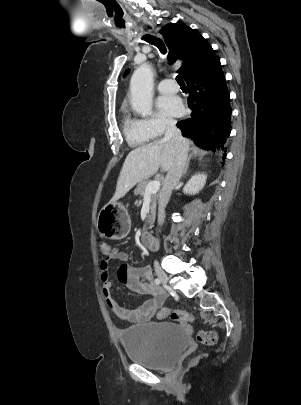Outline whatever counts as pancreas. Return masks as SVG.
I'll return each instance as SVG.
<instances>
[{"instance_id":"cf45deb5","label":"pancreas","mask_w":301,"mask_h":405,"mask_svg":"<svg viewBox=\"0 0 301 405\" xmlns=\"http://www.w3.org/2000/svg\"><path fill=\"white\" fill-rule=\"evenodd\" d=\"M149 184V181L145 180L141 183L138 184L137 188L134 191L135 195H139V196H144L145 194V189L147 187V185ZM158 195L156 194H151L150 196V213L146 219L145 225L143 227V232H146L148 229L152 228V225L155 221V216H156V201H157Z\"/></svg>"}]
</instances>
